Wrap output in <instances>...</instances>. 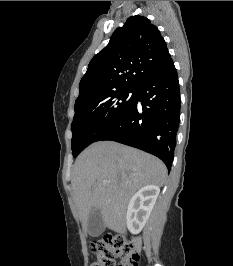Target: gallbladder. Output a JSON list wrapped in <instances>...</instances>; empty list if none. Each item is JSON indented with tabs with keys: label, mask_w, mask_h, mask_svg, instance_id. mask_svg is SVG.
<instances>
[{
	"label": "gallbladder",
	"mask_w": 233,
	"mask_h": 266,
	"mask_svg": "<svg viewBox=\"0 0 233 266\" xmlns=\"http://www.w3.org/2000/svg\"><path fill=\"white\" fill-rule=\"evenodd\" d=\"M105 230V224L101 211L96 209L94 210L89 217L87 224V231L90 236L97 237L100 236Z\"/></svg>",
	"instance_id": "bac80fb5"
}]
</instances>
